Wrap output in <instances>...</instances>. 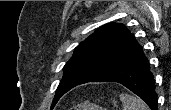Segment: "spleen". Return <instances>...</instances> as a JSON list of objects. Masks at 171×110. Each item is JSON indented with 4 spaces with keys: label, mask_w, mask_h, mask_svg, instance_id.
<instances>
[{
    "label": "spleen",
    "mask_w": 171,
    "mask_h": 110,
    "mask_svg": "<svg viewBox=\"0 0 171 110\" xmlns=\"http://www.w3.org/2000/svg\"><path fill=\"white\" fill-rule=\"evenodd\" d=\"M120 100L123 104V110H149L143 100L130 94H120Z\"/></svg>",
    "instance_id": "3e777b00"
}]
</instances>
